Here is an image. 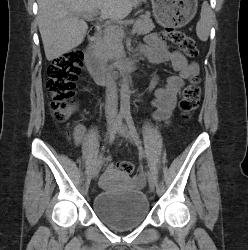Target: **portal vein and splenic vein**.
I'll return each mask as SVG.
<instances>
[{
  "mask_svg": "<svg viewBox=\"0 0 248 250\" xmlns=\"http://www.w3.org/2000/svg\"><path fill=\"white\" fill-rule=\"evenodd\" d=\"M97 15H98V12L82 14L83 17H85L86 19H90V20H92ZM98 19H99L100 22H103V21H105L106 18L103 17V16H100ZM105 25H106L107 29H114V28L119 27V26H116V25H110L107 22H105ZM132 33H135V29L132 30Z\"/></svg>",
  "mask_w": 248,
  "mask_h": 250,
  "instance_id": "18ae733b",
  "label": "portal vein and splenic vein"
}]
</instances>
